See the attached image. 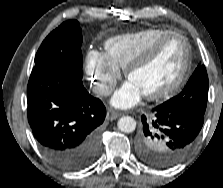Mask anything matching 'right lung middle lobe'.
<instances>
[{
  "label": "right lung middle lobe",
  "mask_w": 223,
  "mask_h": 188,
  "mask_svg": "<svg viewBox=\"0 0 223 188\" xmlns=\"http://www.w3.org/2000/svg\"><path fill=\"white\" fill-rule=\"evenodd\" d=\"M82 41L78 21L62 23L42 42L32 71H58L82 83Z\"/></svg>",
  "instance_id": "dd1d6c3e"
}]
</instances>
